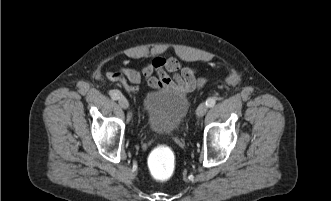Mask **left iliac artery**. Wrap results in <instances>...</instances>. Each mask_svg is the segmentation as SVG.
Wrapping results in <instances>:
<instances>
[{
  "instance_id": "obj_1",
  "label": "left iliac artery",
  "mask_w": 331,
  "mask_h": 201,
  "mask_svg": "<svg viewBox=\"0 0 331 201\" xmlns=\"http://www.w3.org/2000/svg\"><path fill=\"white\" fill-rule=\"evenodd\" d=\"M216 103V100L214 98H209L206 100L207 107H213Z\"/></svg>"
}]
</instances>
